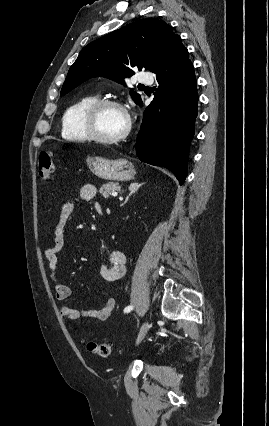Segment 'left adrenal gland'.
<instances>
[{"label":"left adrenal gland","mask_w":269,"mask_h":426,"mask_svg":"<svg viewBox=\"0 0 269 426\" xmlns=\"http://www.w3.org/2000/svg\"><path fill=\"white\" fill-rule=\"evenodd\" d=\"M142 185H144V183H131V184H130V186H129L130 193L128 194V196L126 197V199H125V201L122 203V205H125V204L128 202V200H129V198L131 197V195H132V194H134L135 192H137V190H138V189H139Z\"/></svg>","instance_id":"obj_1"}]
</instances>
